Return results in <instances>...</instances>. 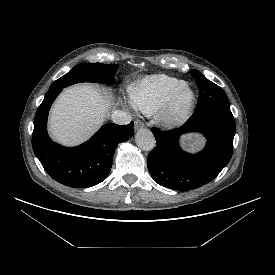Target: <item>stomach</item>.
<instances>
[{
	"instance_id": "obj_1",
	"label": "stomach",
	"mask_w": 275,
	"mask_h": 275,
	"mask_svg": "<svg viewBox=\"0 0 275 275\" xmlns=\"http://www.w3.org/2000/svg\"><path fill=\"white\" fill-rule=\"evenodd\" d=\"M202 141L197 137H190L185 140V146L189 150H197L201 147Z\"/></svg>"
}]
</instances>
